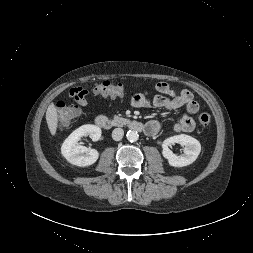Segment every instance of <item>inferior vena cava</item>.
I'll use <instances>...</instances> for the list:
<instances>
[{
    "instance_id": "1",
    "label": "inferior vena cava",
    "mask_w": 253,
    "mask_h": 253,
    "mask_svg": "<svg viewBox=\"0 0 253 253\" xmlns=\"http://www.w3.org/2000/svg\"><path fill=\"white\" fill-rule=\"evenodd\" d=\"M123 135H124V131L123 129L121 128H115L113 131H112V138L113 140L115 141H119L123 138Z\"/></svg>"
}]
</instances>
